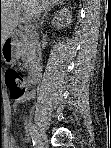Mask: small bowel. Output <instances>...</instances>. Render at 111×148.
Segmentation results:
<instances>
[{"label":"small bowel","mask_w":111,"mask_h":148,"mask_svg":"<svg viewBox=\"0 0 111 148\" xmlns=\"http://www.w3.org/2000/svg\"><path fill=\"white\" fill-rule=\"evenodd\" d=\"M15 110H17L16 107H15ZM8 147H13V140L12 139L8 140Z\"/></svg>","instance_id":"small-bowel-1"}]
</instances>
